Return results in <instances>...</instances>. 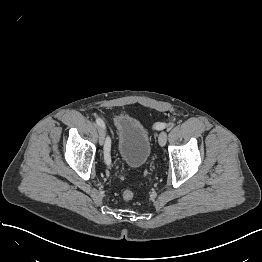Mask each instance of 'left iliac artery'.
Masks as SVG:
<instances>
[{
    "label": "left iliac artery",
    "instance_id": "44dca946",
    "mask_svg": "<svg viewBox=\"0 0 262 262\" xmlns=\"http://www.w3.org/2000/svg\"><path fill=\"white\" fill-rule=\"evenodd\" d=\"M166 126H167V124H165V123H157L156 124V128L160 129V130L166 128Z\"/></svg>",
    "mask_w": 262,
    "mask_h": 262
}]
</instances>
